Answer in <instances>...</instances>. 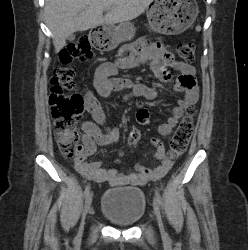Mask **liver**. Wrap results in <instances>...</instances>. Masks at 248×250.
Instances as JSON below:
<instances>
[{"label": "liver", "instance_id": "liver-1", "mask_svg": "<svg viewBox=\"0 0 248 250\" xmlns=\"http://www.w3.org/2000/svg\"><path fill=\"white\" fill-rule=\"evenodd\" d=\"M154 0H45L44 15L53 36L55 52L76 31L99 25L128 22L141 15ZM109 12L103 16V11Z\"/></svg>", "mask_w": 248, "mask_h": 250}]
</instances>
